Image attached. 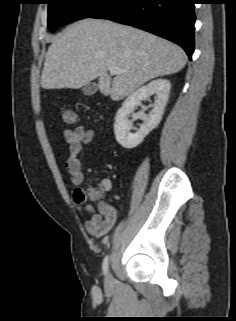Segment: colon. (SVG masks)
<instances>
[{
    "mask_svg": "<svg viewBox=\"0 0 236 321\" xmlns=\"http://www.w3.org/2000/svg\"><path fill=\"white\" fill-rule=\"evenodd\" d=\"M62 121L67 125L75 124L78 121L77 115L69 109L62 111ZM78 194L82 199L100 200L102 195L99 189L93 185H89L87 188H79Z\"/></svg>",
    "mask_w": 236,
    "mask_h": 321,
    "instance_id": "obj_1",
    "label": "colon"
}]
</instances>
